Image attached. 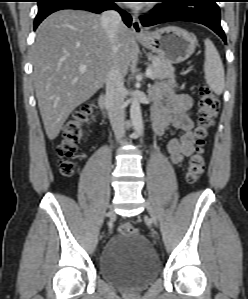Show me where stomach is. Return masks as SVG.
I'll return each mask as SVG.
<instances>
[{"label":"stomach","mask_w":248,"mask_h":299,"mask_svg":"<svg viewBox=\"0 0 248 299\" xmlns=\"http://www.w3.org/2000/svg\"><path fill=\"white\" fill-rule=\"evenodd\" d=\"M147 49L171 64L187 60L195 51L196 40L191 33L176 26H167L138 38Z\"/></svg>","instance_id":"obj_1"}]
</instances>
